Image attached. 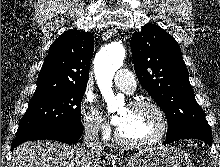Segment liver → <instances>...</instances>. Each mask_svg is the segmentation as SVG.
<instances>
[{
  "mask_svg": "<svg viewBox=\"0 0 220 167\" xmlns=\"http://www.w3.org/2000/svg\"><path fill=\"white\" fill-rule=\"evenodd\" d=\"M102 153L52 141L25 142L12 153L10 167H101Z\"/></svg>",
  "mask_w": 220,
  "mask_h": 167,
  "instance_id": "1",
  "label": "liver"
}]
</instances>
